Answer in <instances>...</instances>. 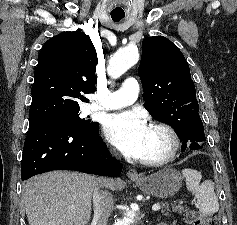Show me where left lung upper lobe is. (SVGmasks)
I'll list each match as a JSON object with an SVG mask.
<instances>
[{"label": "left lung upper lobe", "mask_w": 237, "mask_h": 225, "mask_svg": "<svg viewBox=\"0 0 237 225\" xmlns=\"http://www.w3.org/2000/svg\"><path fill=\"white\" fill-rule=\"evenodd\" d=\"M138 73L143 85L144 107L154 119L171 125L179 133L199 115L189 65L170 40L163 36L143 40Z\"/></svg>", "instance_id": "obj_1"}]
</instances>
